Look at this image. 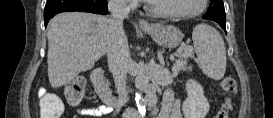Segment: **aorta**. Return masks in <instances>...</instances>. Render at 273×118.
<instances>
[{
  "mask_svg": "<svg viewBox=\"0 0 273 118\" xmlns=\"http://www.w3.org/2000/svg\"><path fill=\"white\" fill-rule=\"evenodd\" d=\"M135 100H136V104H137L139 112L144 113L145 112V106H144L143 98H142V96H141V94L139 92L136 93Z\"/></svg>",
  "mask_w": 273,
  "mask_h": 118,
  "instance_id": "obj_1",
  "label": "aorta"
}]
</instances>
